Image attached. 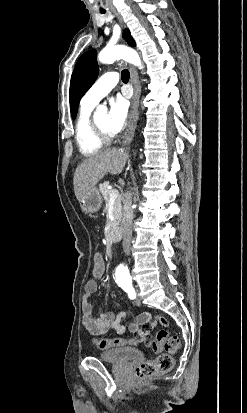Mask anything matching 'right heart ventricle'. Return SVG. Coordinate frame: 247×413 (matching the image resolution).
<instances>
[{
    "mask_svg": "<svg viewBox=\"0 0 247 413\" xmlns=\"http://www.w3.org/2000/svg\"><path fill=\"white\" fill-rule=\"evenodd\" d=\"M92 106H87L80 114L76 124V141L80 153L85 157H92L101 152V143L94 132L93 122L90 119L89 111Z\"/></svg>",
    "mask_w": 247,
    "mask_h": 413,
    "instance_id": "e07e8e85",
    "label": "right heart ventricle"
}]
</instances>
